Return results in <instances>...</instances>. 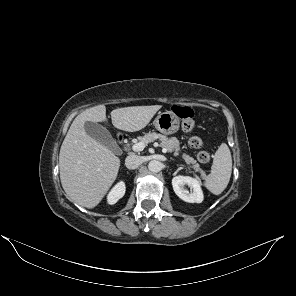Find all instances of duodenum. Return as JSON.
Listing matches in <instances>:
<instances>
[{"mask_svg":"<svg viewBox=\"0 0 296 296\" xmlns=\"http://www.w3.org/2000/svg\"><path fill=\"white\" fill-rule=\"evenodd\" d=\"M118 140H119V141H122V140H123V137H122V136H119V137H118Z\"/></svg>","mask_w":296,"mask_h":296,"instance_id":"410a0bca","label":"duodenum"}]
</instances>
